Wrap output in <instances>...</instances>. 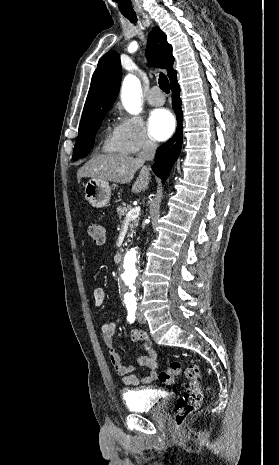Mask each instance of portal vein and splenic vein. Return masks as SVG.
Returning <instances> with one entry per match:
<instances>
[{"label": "portal vein and splenic vein", "instance_id": "1", "mask_svg": "<svg viewBox=\"0 0 279 465\" xmlns=\"http://www.w3.org/2000/svg\"><path fill=\"white\" fill-rule=\"evenodd\" d=\"M141 208L139 206L134 207L130 212L126 215V220L131 221L136 219L140 214Z\"/></svg>", "mask_w": 279, "mask_h": 465}]
</instances>
